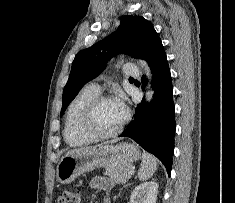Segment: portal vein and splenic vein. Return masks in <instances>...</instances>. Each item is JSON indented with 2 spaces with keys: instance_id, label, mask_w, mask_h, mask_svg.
<instances>
[{
  "instance_id": "1",
  "label": "portal vein and splenic vein",
  "mask_w": 235,
  "mask_h": 203,
  "mask_svg": "<svg viewBox=\"0 0 235 203\" xmlns=\"http://www.w3.org/2000/svg\"><path fill=\"white\" fill-rule=\"evenodd\" d=\"M129 174L130 175L134 174V169L130 170Z\"/></svg>"
}]
</instances>
